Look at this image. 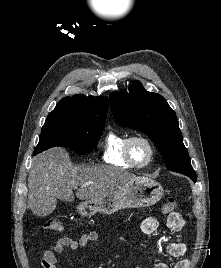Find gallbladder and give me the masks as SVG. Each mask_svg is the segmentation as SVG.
Returning <instances> with one entry per match:
<instances>
[{"instance_id": "bac80fb5", "label": "gallbladder", "mask_w": 221, "mask_h": 268, "mask_svg": "<svg viewBox=\"0 0 221 268\" xmlns=\"http://www.w3.org/2000/svg\"><path fill=\"white\" fill-rule=\"evenodd\" d=\"M56 207L55 199H33L32 210L35 217H48Z\"/></svg>"}]
</instances>
